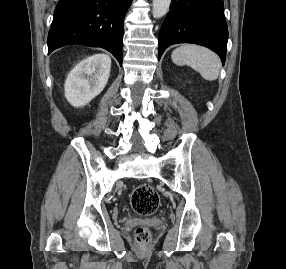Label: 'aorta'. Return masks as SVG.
I'll use <instances>...</instances> for the list:
<instances>
[{
    "label": "aorta",
    "mask_w": 286,
    "mask_h": 269,
    "mask_svg": "<svg viewBox=\"0 0 286 269\" xmlns=\"http://www.w3.org/2000/svg\"><path fill=\"white\" fill-rule=\"evenodd\" d=\"M171 0H153L152 13L154 18H161L169 11Z\"/></svg>",
    "instance_id": "762f6f07"
}]
</instances>
